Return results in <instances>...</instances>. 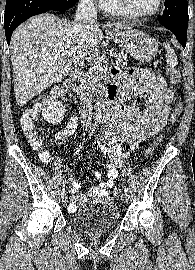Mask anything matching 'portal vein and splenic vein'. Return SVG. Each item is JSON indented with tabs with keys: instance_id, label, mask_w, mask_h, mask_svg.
Here are the masks:
<instances>
[{
	"instance_id": "1",
	"label": "portal vein and splenic vein",
	"mask_w": 195,
	"mask_h": 270,
	"mask_svg": "<svg viewBox=\"0 0 195 270\" xmlns=\"http://www.w3.org/2000/svg\"><path fill=\"white\" fill-rule=\"evenodd\" d=\"M110 56L111 57H117V54L116 53H113V52H110Z\"/></svg>"
}]
</instances>
